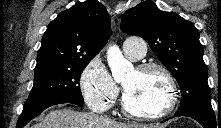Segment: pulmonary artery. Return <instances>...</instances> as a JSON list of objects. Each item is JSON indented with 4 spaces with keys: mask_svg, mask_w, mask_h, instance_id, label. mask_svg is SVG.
<instances>
[{
    "mask_svg": "<svg viewBox=\"0 0 221 128\" xmlns=\"http://www.w3.org/2000/svg\"><path fill=\"white\" fill-rule=\"evenodd\" d=\"M147 43L140 36H129L123 43V51L131 60H139L146 53Z\"/></svg>",
    "mask_w": 221,
    "mask_h": 128,
    "instance_id": "obj_1",
    "label": "pulmonary artery"
}]
</instances>
